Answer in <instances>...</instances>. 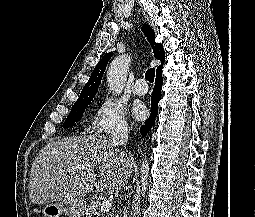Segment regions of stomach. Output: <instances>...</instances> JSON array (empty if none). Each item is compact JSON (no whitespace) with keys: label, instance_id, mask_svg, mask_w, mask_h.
<instances>
[{"label":"stomach","instance_id":"obj_1","mask_svg":"<svg viewBox=\"0 0 255 217\" xmlns=\"http://www.w3.org/2000/svg\"><path fill=\"white\" fill-rule=\"evenodd\" d=\"M86 210V203L79 199L72 202L50 203L43 207L44 217H61L62 214L67 217H82Z\"/></svg>","mask_w":255,"mask_h":217}]
</instances>
